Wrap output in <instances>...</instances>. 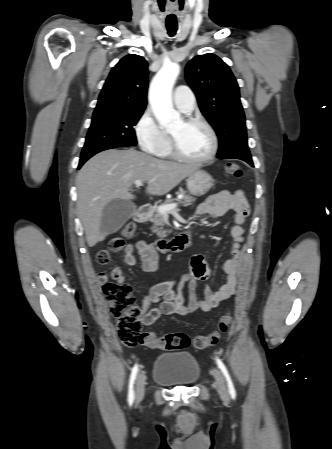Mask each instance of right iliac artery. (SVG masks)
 Returning a JSON list of instances; mask_svg holds the SVG:
<instances>
[{"mask_svg": "<svg viewBox=\"0 0 332 449\" xmlns=\"http://www.w3.org/2000/svg\"><path fill=\"white\" fill-rule=\"evenodd\" d=\"M138 373V365L136 364L131 372L129 380V390H128V402L130 405L134 402V383Z\"/></svg>", "mask_w": 332, "mask_h": 449, "instance_id": "obj_1", "label": "right iliac artery"}]
</instances>
